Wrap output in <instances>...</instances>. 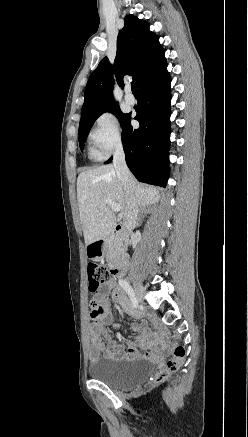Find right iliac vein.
I'll return each mask as SVG.
<instances>
[{
    "label": "right iliac vein",
    "instance_id": "right-iliac-vein-1",
    "mask_svg": "<svg viewBox=\"0 0 248 437\" xmlns=\"http://www.w3.org/2000/svg\"><path fill=\"white\" fill-rule=\"evenodd\" d=\"M133 288L135 291L136 299L138 302H142L144 298V289L141 284L134 282Z\"/></svg>",
    "mask_w": 248,
    "mask_h": 437
}]
</instances>
